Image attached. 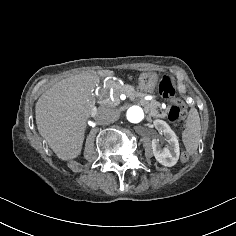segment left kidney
<instances>
[{"label": "left kidney", "instance_id": "1", "mask_svg": "<svg viewBox=\"0 0 236 236\" xmlns=\"http://www.w3.org/2000/svg\"><path fill=\"white\" fill-rule=\"evenodd\" d=\"M154 127L159 133H164V140L166 141V147L161 148L158 140H152V150L156 161L164 167L175 166L180 155L179 143L175 133L161 120L154 121Z\"/></svg>", "mask_w": 236, "mask_h": 236}]
</instances>
